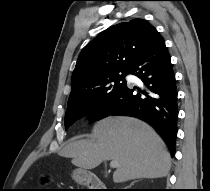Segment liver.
<instances>
[{
	"mask_svg": "<svg viewBox=\"0 0 210 191\" xmlns=\"http://www.w3.org/2000/svg\"><path fill=\"white\" fill-rule=\"evenodd\" d=\"M91 140L66 145L60 155L85 170L116 160L115 183L139 178L165 177L171 157L159 135L145 122L131 117H108L94 125Z\"/></svg>",
	"mask_w": 210,
	"mask_h": 191,
	"instance_id": "obj_1",
	"label": "liver"
}]
</instances>
